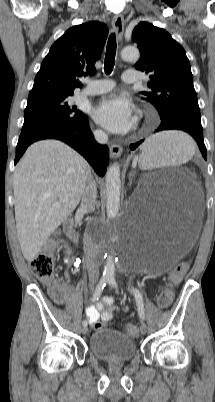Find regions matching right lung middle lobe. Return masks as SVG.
<instances>
[{
    "mask_svg": "<svg viewBox=\"0 0 215 402\" xmlns=\"http://www.w3.org/2000/svg\"><path fill=\"white\" fill-rule=\"evenodd\" d=\"M69 94L28 97L24 124L17 145H24L44 133L80 122L85 115L70 102Z\"/></svg>",
    "mask_w": 215,
    "mask_h": 402,
    "instance_id": "right-lung-middle-lobe-1",
    "label": "right lung middle lobe"
}]
</instances>
